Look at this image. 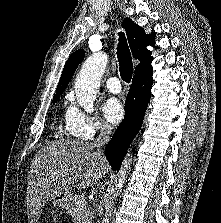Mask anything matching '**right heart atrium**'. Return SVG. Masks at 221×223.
Returning <instances> with one entry per match:
<instances>
[{"label":"right heart atrium","instance_id":"d8ad5b80","mask_svg":"<svg viewBox=\"0 0 221 223\" xmlns=\"http://www.w3.org/2000/svg\"><path fill=\"white\" fill-rule=\"evenodd\" d=\"M66 120L70 134L76 138L90 140L97 134L110 131L108 125L100 118L86 113L74 102L67 110Z\"/></svg>","mask_w":221,"mask_h":223}]
</instances>
